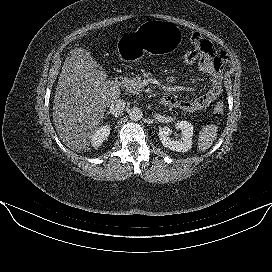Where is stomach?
Instances as JSON below:
<instances>
[{
    "instance_id": "0dacf381",
    "label": "stomach",
    "mask_w": 272,
    "mask_h": 272,
    "mask_svg": "<svg viewBox=\"0 0 272 272\" xmlns=\"http://www.w3.org/2000/svg\"><path fill=\"white\" fill-rule=\"evenodd\" d=\"M183 34L173 22L150 20L143 22L135 31L123 34L117 42L121 61L141 59L144 54L170 52L181 44Z\"/></svg>"
}]
</instances>
